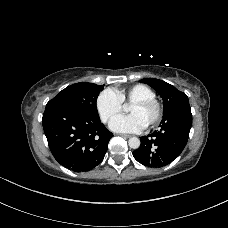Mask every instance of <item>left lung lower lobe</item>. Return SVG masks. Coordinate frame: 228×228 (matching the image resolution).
Returning <instances> with one entry per match:
<instances>
[{
  "label": "left lung lower lobe",
  "instance_id": "1",
  "mask_svg": "<svg viewBox=\"0 0 228 228\" xmlns=\"http://www.w3.org/2000/svg\"><path fill=\"white\" fill-rule=\"evenodd\" d=\"M190 105L181 106V119L173 115L163 117L160 129L140 137L141 145L133 152L134 158L147 167L160 168L175 160L187 144L191 129Z\"/></svg>",
  "mask_w": 228,
  "mask_h": 228
}]
</instances>
